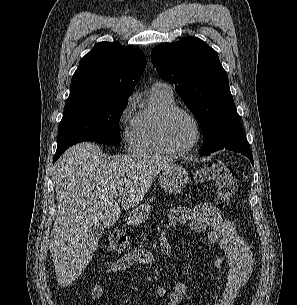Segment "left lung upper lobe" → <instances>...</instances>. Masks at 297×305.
Listing matches in <instances>:
<instances>
[{
	"instance_id": "obj_1",
	"label": "left lung upper lobe",
	"mask_w": 297,
	"mask_h": 305,
	"mask_svg": "<svg viewBox=\"0 0 297 305\" xmlns=\"http://www.w3.org/2000/svg\"><path fill=\"white\" fill-rule=\"evenodd\" d=\"M160 77L175 85L188 108L202 124L200 154L224 147L249 146L242 133L226 71L217 52L204 41L186 37L163 43L151 52Z\"/></svg>"
}]
</instances>
